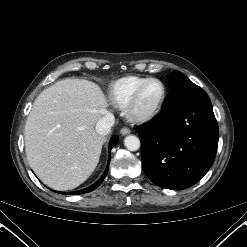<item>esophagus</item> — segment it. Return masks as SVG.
Returning <instances> with one entry per match:
<instances>
[{
  "label": "esophagus",
  "mask_w": 247,
  "mask_h": 247,
  "mask_svg": "<svg viewBox=\"0 0 247 247\" xmlns=\"http://www.w3.org/2000/svg\"><path fill=\"white\" fill-rule=\"evenodd\" d=\"M120 133H121L122 135H127V134L130 133V129L127 128V127H123V128L120 130Z\"/></svg>",
  "instance_id": "34e87169"
}]
</instances>
